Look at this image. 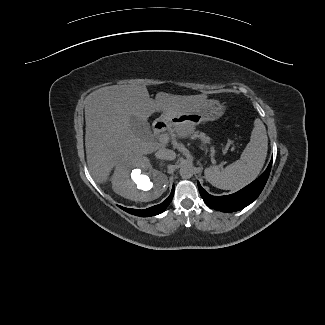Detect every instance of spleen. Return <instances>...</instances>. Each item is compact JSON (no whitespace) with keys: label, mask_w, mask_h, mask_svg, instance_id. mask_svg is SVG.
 <instances>
[{"label":"spleen","mask_w":325,"mask_h":325,"mask_svg":"<svg viewBox=\"0 0 325 325\" xmlns=\"http://www.w3.org/2000/svg\"><path fill=\"white\" fill-rule=\"evenodd\" d=\"M268 149L266 128L260 119L254 121L250 142L236 162L225 168L208 167L206 180L223 190H237L257 178L265 163Z\"/></svg>","instance_id":"obj_1"}]
</instances>
